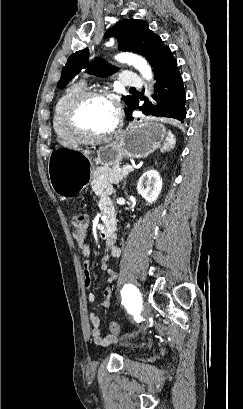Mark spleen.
<instances>
[{"instance_id": "3e777b00", "label": "spleen", "mask_w": 243, "mask_h": 409, "mask_svg": "<svg viewBox=\"0 0 243 409\" xmlns=\"http://www.w3.org/2000/svg\"><path fill=\"white\" fill-rule=\"evenodd\" d=\"M175 143H176V139L174 135L172 134L171 131H168L167 136L165 138V142L161 148V151L162 152L169 151L170 149L174 147Z\"/></svg>"}]
</instances>
